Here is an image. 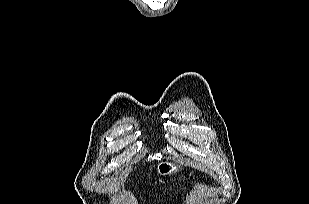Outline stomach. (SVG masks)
Segmentation results:
<instances>
[{
	"label": "stomach",
	"instance_id": "stomach-1",
	"mask_svg": "<svg viewBox=\"0 0 309 204\" xmlns=\"http://www.w3.org/2000/svg\"><path fill=\"white\" fill-rule=\"evenodd\" d=\"M180 166L172 162H162L157 166V172L160 175L166 176L176 173L180 170Z\"/></svg>",
	"mask_w": 309,
	"mask_h": 204
}]
</instances>
